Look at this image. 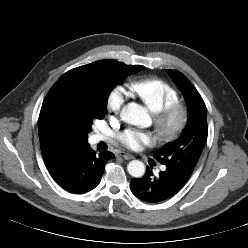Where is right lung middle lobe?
<instances>
[{"mask_svg":"<svg viewBox=\"0 0 248 248\" xmlns=\"http://www.w3.org/2000/svg\"><path fill=\"white\" fill-rule=\"evenodd\" d=\"M144 69L115 60H100L69 70L52 86L40 113L70 127L87 143L92 123L106 113L113 87L127 76Z\"/></svg>","mask_w":248,"mask_h":248,"instance_id":"right-lung-middle-lobe-1","label":"right lung middle lobe"}]
</instances>
